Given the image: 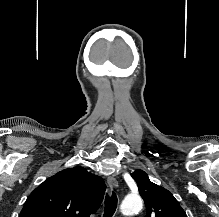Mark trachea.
<instances>
[{"label": "trachea", "mask_w": 219, "mask_h": 217, "mask_svg": "<svg viewBox=\"0 0 219 217\" xmlns=\"http://www.w3.org/2000/svg\"><path fill=\"white\" fill-rule=\"evenodd\" d=\"M116 208H117V196L113 191L110 196L106 194L104 217H112L116 211Z\"/></svg>", "instance_id": "obj_1"}]
</instances>
